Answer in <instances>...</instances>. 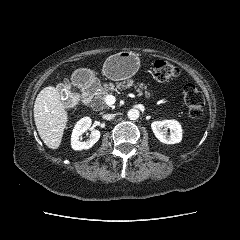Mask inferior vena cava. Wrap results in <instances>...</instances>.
<instances>
[{
	"mask_svg": "<svg viewBox=\"0 0 240 240\" xmlns=\"http://www.w3.org/2000/svg\"><path fill=\"white\" fill-rule=\"evenodd\" d=\"M102 117L105 120H111L115 117V114H104Z\"/></svg>",
	"mask_w": 240,
	"mask_h": 240,
	"instance_id": "obj_1",
	"label": "inferior vena cava"
}]
</instances>
